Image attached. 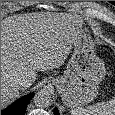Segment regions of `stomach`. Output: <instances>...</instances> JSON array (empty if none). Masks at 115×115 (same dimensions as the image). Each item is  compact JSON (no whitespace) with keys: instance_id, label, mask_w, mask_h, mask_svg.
<instances>
[{"instance_id":"0dacf381","label":"stomach","mask_w":115,"mask_h":115,"mask_svg":"<svg viewBox=\"0 0 115 115\" xmlns=\"http://www.w3.org/2000/svg\"><path fill=\"white\" fill-rule=\"evenodd\" d=\"M105 74V65L96 55L94 41L87 28L81 27L64 75L52 83L66 106L80 108L97 96Z\"/></svg>"}]
</instances>
